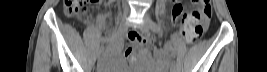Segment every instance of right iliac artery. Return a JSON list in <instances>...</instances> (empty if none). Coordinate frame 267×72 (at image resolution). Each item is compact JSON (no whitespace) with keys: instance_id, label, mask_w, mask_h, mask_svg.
I'll list each match as a JSON object with an SVG mask.
<instances>
[{"instance_id":"82829eb1","label":"right iliac artery","mask_w":267,"mask_h":72,"mask_svg":"<svg viewBox=\"0 0 267 72\" xmlns=\"http://www.w3.org/2000/svg\"><path fill=\"white\" fill-rule=\"evenodd\" d=\"M123 30H124V28H123ZM123 30H121V31L118 30V31L115 32L110 38L103 39V40L101 41V43L99 44V51H101V50L104 49V46H105V43H106V42H108V41L113 42V41L117 40V39L122 35Z\"/></svg>"}]
</instances>
